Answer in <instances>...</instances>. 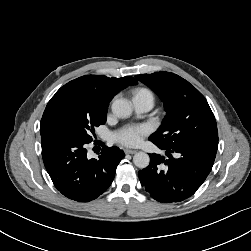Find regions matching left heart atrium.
<instances>
[{
	"label": "left heart atrium",
	"mask_w": 251,
	"mask_h": 251,
	"mask_svg": "<svg viewBox=\"0 0 251 251\" xmlns=\"http://www.w3.org/2000/svg\"><path fill=\"white\" fill-rule=\"evenodd\" d=\"M147 132V127L143 125L125 127L117 133L116 140L125 146H136Z\"/></svg>",
	"instance_id": "39dd6f15"
}]
</instances>
